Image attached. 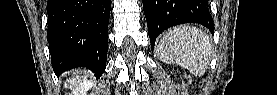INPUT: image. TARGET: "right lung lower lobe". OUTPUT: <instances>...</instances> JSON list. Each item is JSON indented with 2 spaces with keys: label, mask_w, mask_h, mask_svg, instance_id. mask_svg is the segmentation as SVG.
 <instances>
[{
  "label": "right lung lower lobe",
  "mask_w": 277,
  "mask_h": 95,
  "mask_svg": "<svg viewBox=\"0 0 277 95\" xmlns=\"http://www.w3.org/2000/svg\"><path fill=\"white\" fill-rule=\"evenodd\" d=\"M111 0H48L49 50L57 75L86 67L99 78L106 68Z\"/></svg>",
  "instance_id": "right-lung-lower-lobe-1"
}]
</instances>
